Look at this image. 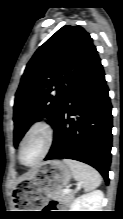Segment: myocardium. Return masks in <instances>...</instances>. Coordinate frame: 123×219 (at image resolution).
Masks as SVG:
<instances>
[{
	"label": "myocardium",
	"instance_id": "f54148a6",
	"mask_svg": "<svg viewBox=\"0 0 123 219\" xmlns=\"http://www.w3.org/2000/svg\"><path fill=\"white\" fill-rule=\"evenodd\" d=\"M36 132L43 133V135H44V148H43L42 154L38 158V160H36L34 163L27 164L22 159L23 146H24V143L26 142V140ZM53 141H54V129H53L52 125L44 119H39V120L34 121L29 126V128L27 129V131L25 132V134L23 135V137L20 141L19 151H18L19 161L21 162V164L28 166V167H32V166L39 164L49 153V151L52 147Z\"/></svg>",
	"mask_w": 123,
	"mask_h": 219
}]
</instances>
